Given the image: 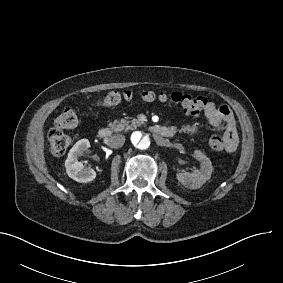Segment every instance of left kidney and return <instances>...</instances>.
Listing matches in <instances>:
<instances>
[{"label": "left kidney", "instance_id": "5707ae66", "mask_svg": "<svg viewBox=\"0 0 283 283\" xmlns=\"http://www.w3.org/2000/svg\"><path fill=\"white\" fill-rule=\"evenodd\" d=\"M194 154L200 161L201 168L194 171L193 173L179 172L176 174L177 180L184 187L189 189L200 188L207 180L211 178V174L213 172L212 163L204 153H202L200 150H195Z\"/></svg>", "mask_w": 283, "mask_h": 283}]
</instances>
